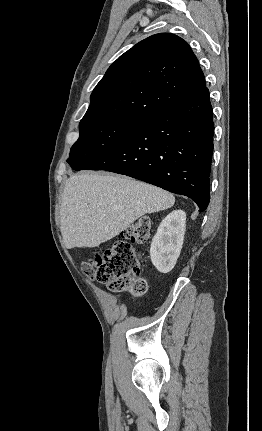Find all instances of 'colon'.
<instances>
[{"label":"colon","instance_id":"obj_1","mask_svg":"<svg viewBox=\"0 0 262 431\" xmlns=\"http://www.w3.org/2000/svg\"><path fill=\"white\" fill-rule=\"evenodd\" d=\"M153 228L151 217H144L123 230L120 236L94 259L84 258L82 269L89 277L113 292H128L135 297L145 293L140 257L135 245L148 239Z\"/></svg>","mask_w":262,"mask_h":431}]
</instances>
